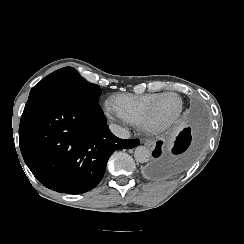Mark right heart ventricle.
<instances>
[{
	"mask_svg": "<svg viewBox=\"0 0 244 244\" xmlns=\"http://www.w3.org/2000/svg\"><path fill=\"white\" fill-rule=\"evenodd\" d=\"M155 97V95H119L113 99L112 103L113 108L124 121L143 125L151 117L148 106Z\"/></svg>",
	"mask_w": 244,
	"mask_h": 244,
	"instance_id": "1",
	"label": "right heart ventricle"
}]
</instances>
